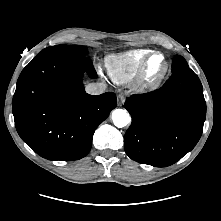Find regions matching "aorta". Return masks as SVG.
<instances>
[{"label":"aorta","mask_w":221,"mask_h":221,"mask_svg":"<svg viewBox=\"0 0 221 221\" xmlns=\"http://www.w3.org/2000/svg\"><path fill=\"white\" fill-rule=\"evenodd\" d=\"M112 120L116 127L122 128L127 126L131 122V117L126 110L115 109L112 112Z\"/></svg>","instance_id":"1"}]
</instances>
